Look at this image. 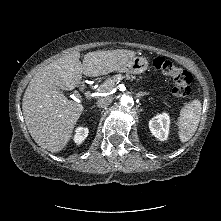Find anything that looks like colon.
<instances>
[{
  "label": "colon",
  "instance_id": "1",
  "mask_svg": "<svg viewBox=\"0 0 221 221\" xmlns=\"http://www.w3.org/2000/svg\"><path fill=\"white\" fill-rule=\"evenodd\" d=\"M153 66L172 80V92L175 96L184 98L190 94L192 76L189 72L178 68L172 61L163 57H156L153 60Z\"/></svg>",
  "mask_w": 221,
  "mask_h": 221
}]
</instances>
